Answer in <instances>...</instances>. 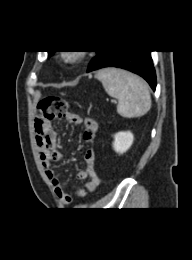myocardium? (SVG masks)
<instances>
[{
  "label": "myocardium",
  "instance_id": "obj_1",
  "mask_svg": "<svg viewBox=\"0 0 192 260\" xmlns=\"http://www.w3.org/2000/svg\"><path fill=\"white\" fill-rule=\"evenodd\" d=\"M85 52L83 51H68L62 54V58L70 64H75L80 62L85 57Z\"/></svg>",
  "mask_w": 192,
  "mask_h": 260
}]
</instances>
